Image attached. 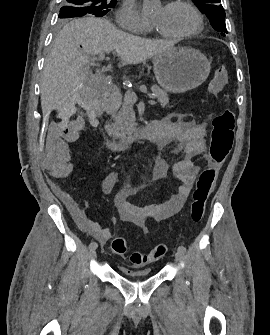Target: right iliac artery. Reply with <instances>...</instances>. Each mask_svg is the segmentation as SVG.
<instances>
[{
	"instance_id": "82829eb1",
	"label": "right iliac artery",
	"mask_w": 270,
	"mask_h": 335,
	"mask_svg": "<svg viewBox=\"0 0 270 335\" xmlns=\"http://www.w3.org/2000/svg\"><path fill=\"white\" fill-rule=\"evenodd\" d=\"M97 243L96 242H91L89 245V249H96L97 248Z\"/></svg>"
}]
</instances>
